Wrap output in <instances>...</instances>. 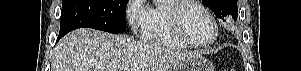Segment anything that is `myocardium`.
Returning a JSON list of instances; mask_svg holds the SVG:
<instances>
[{
	"label": "myocardium",
	"mask_w": 301,
	"mask_h": 71,
	"mask_svg": "<svg viewBox=\"0 0 301 71\" xmlns=\"http://www.w3.org/2000/svg\"><path fill=\"white\" fill-rule=\"evenodd\" d=\"M192 6L200 8L207 15L213 25V36L207 43H196L192 41L186 33L183 19L184 12ZM165 9L176 36L189 47L206 49L211 47L216 42L219 33L217 21L214 15L202 3L193 0H175L170 1L165 6Z\"/></svg>",
	"instance_id": "f54148a6"
}]
</instances>
